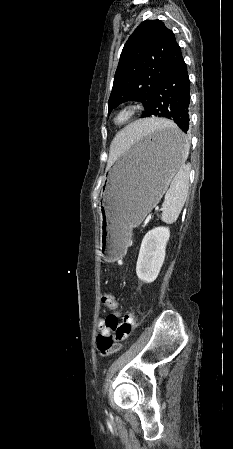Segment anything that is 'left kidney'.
Wrapping results in <instances>:
<instances>
[{
  "label": "left kidney",
  "instance_id": "left-kidney-1",
  "mask_svg": "<svg viewBox=\"0 0 233 449\" xmlns=\"http://www.w3.org/2000/svg\"><path fill=\"white\" fill-rule=\"evenodd\" d=\"M169 237L168 227H156L144 236L136 264V274L141 281L152 283L158 277Z\"/></svg>",
  "mask_w": 233,
  "mask_h": 449
}]
</instances>
